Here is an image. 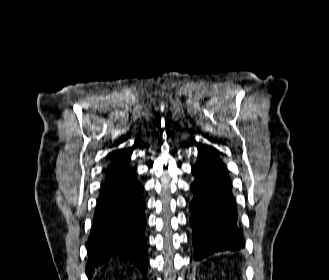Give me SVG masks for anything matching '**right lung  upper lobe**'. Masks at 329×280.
Returning <instances> with one entry per match:
<instances>
[{
    "mask_svg": "<svg viewBox=\"0 0 329 280\" xmlns=\"http://www.w3.org/2000/svg\"><path fill=\"white\" fill-rule=\"evenodd\" d=\"M109 157L112 163L126 162L130 160V154L126 150H117L112 152Z\"/></svg>",
    "mask_w": 329,
    "mask_h": 280,
    "instance_id": "right-lung-upper-lobe-1",
    "label": "right lung upper lobe"
}]
</instances>
